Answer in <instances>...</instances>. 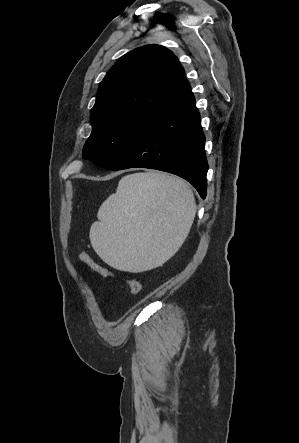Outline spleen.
<instances>
[{
  "instance_id": "1",
  "label": "spleen",
  "mask_w": 299,
  "mask_h": 443,
  "mask_svg": "<svg viewBox=\"0 0 299 443\" xmlns=\"http://www.w3.org/2000/svg\"><path fill=\"white\" fill-rule=\"evenodd\" d=\"M195 213L194 194L183 180L159 172L130 174L99 208L90 241L109 266L147 271L178 251Z\"/></svg>"
}]
</instances>
